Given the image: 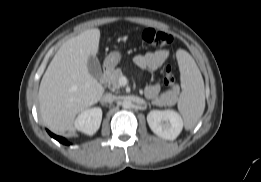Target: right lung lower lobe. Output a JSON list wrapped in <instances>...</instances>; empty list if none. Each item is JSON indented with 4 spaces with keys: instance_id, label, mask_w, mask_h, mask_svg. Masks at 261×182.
Masks as SVG:
<instances>
[{
    "instance_id": "right-lung-lower-lobe-1",
    "label": "right lung lower lobe",
    "mask_w": 261,
    "mask_h": 182,
    "mask_svg": "<svg viewBox=\"0 0 261 182\" xmlns=\"http://www.w3.org/2000/svg\"><path fill=\"white\" fill-rule=\"evenodd\" d=\"M47 132L50 134L51 137H53L54 139H56L60 143L65 144V145H69V142L66 139L52 134L49 130H47Z\"/></svg>"
}]
</instances>
